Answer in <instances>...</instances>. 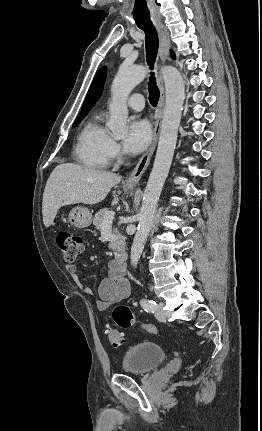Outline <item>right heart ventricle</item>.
Returning <instances> with one entry per match:
<instances>
[{
    "mask_svg": "<svg viewBox=\"0 0 262 431\" xmlns=\"http://www.w3.org/2000/svg\"><path fill=\"white\" fill-rule=\"evenodd\" d=\"M110 139L99 115L88 119L78 135L75 147L80 163L91 169L104 168L109 161L107 147Z\"/></svg>",
    "mask_w": 262,
    "mask_h": 431,
    "instance_id": "1",
    "label": "right heart ventricle"
}]
</instances>
